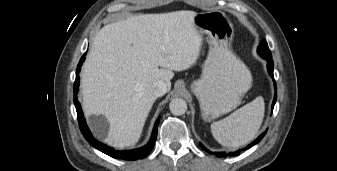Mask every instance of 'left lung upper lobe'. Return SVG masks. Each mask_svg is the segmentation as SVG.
Segmentation results:
<instances>
[{
    "label": "left lung upper lobe",
    "mask_w": 337,
    "mask_h": 171,
    "mask_svg": "<svg viewBox=\"0 0 337 171\" xmlns=\"http://www.w3.org/2000/svg\"><path fill=\"white\" fill-rule=\"evenodd\" d=\"M257 52L262 58H271L272 57L266 40H263L260 43V45L257 48Z\"/></svg>",
    "instance_id": "1"
}]
</instances>
